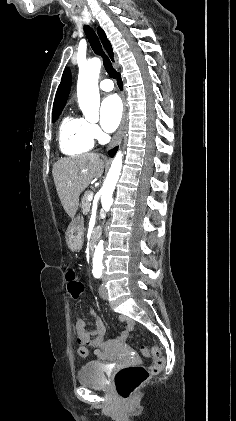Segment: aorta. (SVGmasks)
I'll use <instances>...</instances> for the list:
<instances>
[{
  "label": "aorta",
  "instance_id": "1",
  "mask_svg": "<svg viewBox=\"0 0 236 421\" xmlns=\"http://www.w3.org/2000/svg\"><path fill=\"white\" fill-rule=\"evenodd\" d=\"M101 68L100 58H90L84 68H81L78 76L77 92L78 102L81 110L86 114L88 104H94L96 98L99 96L98 78ZM122 152L118 150L111 168L107 174V178L101 188V204L104 211L108 213L113 204V190L117 184L122 168ZM104 247L103 241L98 243L93 259L94 273H102V259Z\"/></svg>",
  "mask_w": 236,
  "mask_h": 421
}]
</instances>
